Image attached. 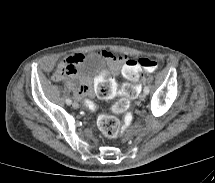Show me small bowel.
I'll return each instance as SVG.
<instances>
[{
  "mask_svg": "<svg viewBox=\"0 0 215 183\" xmlns=\"http://www.w3.org/2000/svg\"><path fill=\"white\" fill-rule=\"evenodd\" d=\"M98 54L107 59L114 60L116 64L121 66H124L126 62L129 60L126 55L116 56L107 50H101ZM84 58H85L84 54L75 53L67 56L60 63V66L65 65L71 71L70 75L68 76L73 78L72 85H73L76 97L78 99H82L85 96H90L88 89L92 84L93 91L95 93V96L98 99L104 100V99L111 98L116 91L115 84L113 81H111V78H112L111 69L105 65L99 66L96 69L95 75L91 82V80L88 77L78 75V64ZM56 79H60V78H56Z\"/></svg>",
  "mask_w": 215,
  "mask_h": 183,
  "instance_id": "c3829d8e",
  "label": "small bowel"
}]
</instances>
